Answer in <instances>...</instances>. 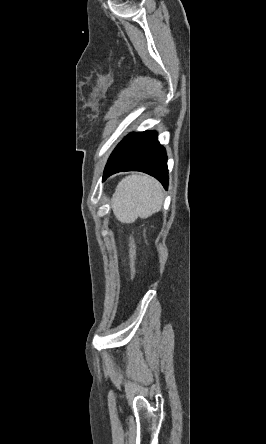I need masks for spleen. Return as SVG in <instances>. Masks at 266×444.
<instances>
[{
	"label": "spleen",
	"instance_id": "spleen-1",
	"mask_svg": "<svg viewBox=\"0 0 266 444\" xmlns=\"http://www.w3.org/2000/svg\"><path fill=\"white\" fill-rule=\"evenodd\" d=\"M163 204L160 183L144 174H132L119 182L112 197V209L123 223H132L138 217L148 218Z\"/></svg>",
	"mask_w": 266,
	"mask_h": 444
}]
</instances>
